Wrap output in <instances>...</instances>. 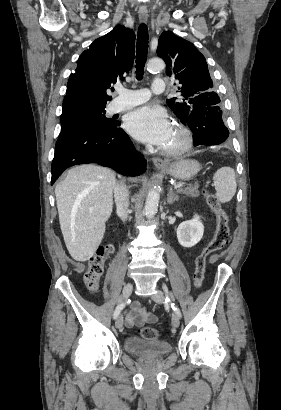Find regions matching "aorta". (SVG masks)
<instances>
[{
  "label": "aorta",
  "mask_w": 281,
  "mask_h": 410,
  "mask_svg": "<svg viewBox=\"0 0 281 410\" xmlns=\"http://www.w3.org/2000/svg\"><path fill=\"white\" fill-rule=\"evenodd\" d=\"M147 68L149 71H161L165 68V63L161 59H151L148 64ZM160 200V191L159 187L152 188L146 198L145 202V216L148 219L154 217L158 210V204Z\"/></svg>",
  "instance_id": "aorta-1"
}]
</instances>
